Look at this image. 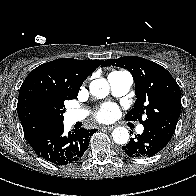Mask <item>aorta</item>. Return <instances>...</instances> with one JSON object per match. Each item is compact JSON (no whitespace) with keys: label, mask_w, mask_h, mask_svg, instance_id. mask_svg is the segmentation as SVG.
I'll list each match as a JSON object with an SVG mask.
<instances>
[{"label":"aorta","mask_w":196,"mask_h":196,"mask_svg":"<svg viewBox=\"0 0 196 196\" xmlns=\"http://www.w3.org/2000/svg\"><path fill=\"white\" fill-rule=\"evenodd\" d=\"M89 89L90 93L98 99L105 98L109 94V84L104 78L93 80ZM112 137L115 143L125 144L129 140V132L124 127H117L113 130Z\"/></svg>","instance_id":"1"}]
</instances>
